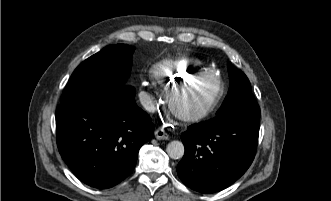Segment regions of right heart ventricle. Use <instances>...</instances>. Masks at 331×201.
Segmentation results:
<instances>
[{"mask_svg": "<svg viewBox=\"0 0 331 201\" xmlns=\"http://www.w3.org/2000/svg\"><path fill=\"white\" fill-rule=\"evenodd\" d=\"M198 73L209 74L211 71L195 58L166 59L152 69V77L160 84H167L181 78H189Z\"/></svg>", "mask_w": 331, "mask_h": 201, "instance_id": "1", "label": "right heart ventricle"}]
</instances>
